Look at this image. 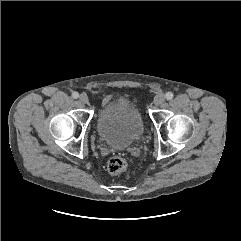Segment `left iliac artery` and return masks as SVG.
Segmentation results:
<instances>
[{
    "instance_id": "left-iliac-artery-1",
    "label": "left iliac artery",
    "mask_w": 241,
    "mask_h": 241,
    "mask_svg": "<svg viewBox=\"0 0 241 241\" xmlns=\"http://www.w3.org/2000/svg\"><path fill=\"white\" fill-rule=\"evenodd\" d=\"M173 93L172 92H167L166 94H165V98L167 99V100H171L172 98H173Z\"/></svg>"
}]
</instances>
